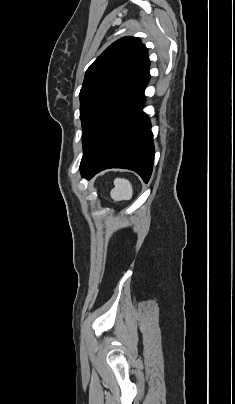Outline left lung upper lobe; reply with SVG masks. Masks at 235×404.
<instances>
[{"mask_svg":"<svg viewBox=\"0 0 235 404\" xmlns=\"http://www.w3.org/2000/svg\"><path fill=\"white\" fill-rule=\"evenodd\" d=\"M147 48L137 37L112 43L87 69L80 91L83 149L106 120L150 78Z\"/></svg>","mask_w":235,"mask_h":404,"instance_id":"5c2ea615","label":"left lung upper lobe"}]
</instances>
